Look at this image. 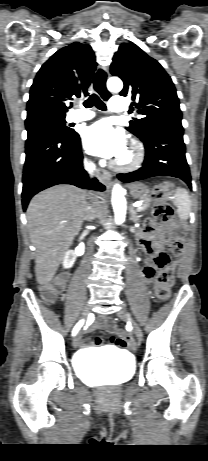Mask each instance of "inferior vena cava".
<instances>
[{"mask_svg": "<svg viewBox=\"0 0 208 461\" xmlns=\"http://www.w3.org/2000/svg\"><path fill=\"white\" fill-rule=\"evenodd\" d=\"M84 166L88 170V172L92 175L95 170V164L93 162L85 161ZM88 209H89V212H88L87 217L89 218V221H91L95 218L96 211L94 210V208H92V206H89Z\"/></svg>", "mask_w": 208, "mask_h": 461, "instance_id": "obj_1", "label": "inferior vena cava"}]
</instances>
